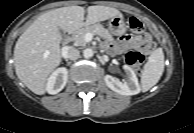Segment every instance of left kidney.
Instances as JSON below:
<instances>
[{
	"instance_id": "1",
	"label": "left kidney",
	"mask_w": 194,
	"mask_h": 133,
	"mask_svg": "<svg viewBox=\"0 0 194 133\" xmlns=\"http://www.w3.org/2000/svg\"><path fill=\"white\" fill-rule=\"evenodd\" d=\"M123 69L127 76L125 81L121 82L111 75H106L104 77L106 85L111 90L121 95L129 96L138 94L140 92V86L134 70L128 65H124Z\"/></svg>"
}]
</instances>
